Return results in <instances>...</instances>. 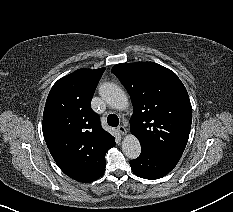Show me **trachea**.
<instances>
[{"label":"trachea","mask_w":233,"mask_h":212,"mask_svg":"<svg viewBox=\"0 0 233 212\" xmlns=\"http://www.w3.org/2000/svg\"><path fill=\"white\" fill-rule=\"evenodd\" d=\"M107 122L110 126L116 127L119 124V118L115 114H110L107 118Z\"/></svg>","instance_id":"obj_1"}]
</instances>
